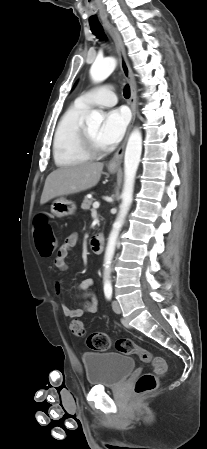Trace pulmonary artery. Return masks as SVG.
I'll list each match as a JSON object with an SVG mask.
<instances>
[{"mask_svg":"<svg viewBox=\"0 0 207 449\" xmlns=\"http://www.w3.org/2000/svg\"><path fill=\"white\" fill-rule=\"evenodd\" d=\"M75 103L83 107H110L117 103V97L112 85H103L83 93Z\"/></svg>","mask_w":207,"mask_h":449,"instance_id":"e3ab8cb5","label":"pulmonary artery"}]
</instances>
